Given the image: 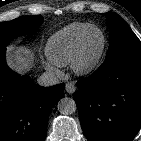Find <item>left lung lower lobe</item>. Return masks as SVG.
<instances>
[{"mask_svg": "<svg viewBox=\"0 0 141 141\" xmlns=\"http://www.w3.org/2000/svg\"><path fill=\"white\" fill-rule=\"evenodd\" d=\"M74 100L89 141H132L141 127V54L120 55L77 82Z\"/></svg>", "mask_w": 141, "mask_h": 141, "instance_id": "1", "label": "left lung lower lobe"}]
</instances>
